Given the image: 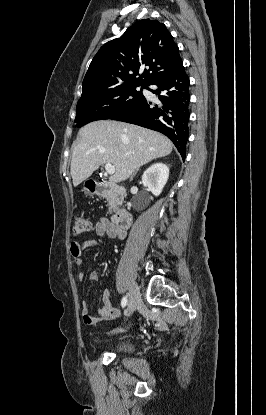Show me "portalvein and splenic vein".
Wrapping results in <instances>:
<instances>
[{"label": "portal vein and splenic vein", "mask_w": 266, "mask_h": 415, "mask_svg": "<svg viewBox=\"0 0 266 415\" xmlns=\"http://www.w3.org/2000/svg\"><path fill=\"white\" fill-rule=\"evenodd\" d=\"M105 170L110 175L115 173V167L111 163H105Z\"/></svg>", "instance_id": "1"}]
</instances>
